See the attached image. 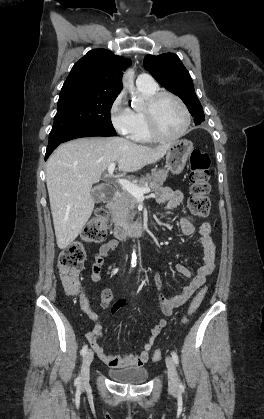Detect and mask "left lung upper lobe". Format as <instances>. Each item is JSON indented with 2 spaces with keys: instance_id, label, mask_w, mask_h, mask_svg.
<instances>
[{
  "instance_id": "5c2ea615",
  "label": "left lung upper lobe",
  "mask_w": 264,
  "mask_h": 419,
  "mask_svg": "<svg viewBox=\"0 0 264 419\" xmlns=\"http://www.w3.org/2000/svg\"><path fill=\"white\" fill-rule=\"evenodd\" d=\"M143 65L163 87L183 100L194 119L204 117L191 76L176 54L146 55Z\"/></svg>"
}]
</instances>
